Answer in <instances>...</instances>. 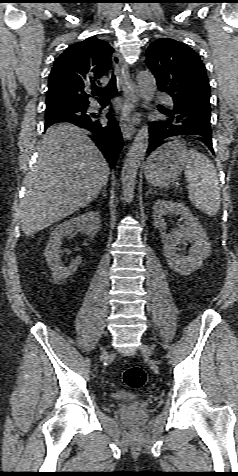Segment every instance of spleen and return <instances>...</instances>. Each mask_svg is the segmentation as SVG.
I'll use <instances>...</instances> for the list:
<instances>
[{
  "mask_svg": "<svg viewBox=\"0 0 238 476\" xmlns=\"http://www.w3.org/2000/svg\"><path fill=\"white\" fill-rule=\"evenodd\" d=\"M188 162L185 177L192 204L209 216H215L221 203L217 172L213 162L204 154L191 149L187 151Z\"/></svg>",
  "mask_w": 238,
  "mask_h": 476,
  "instance_id": "1",
  "label": "spleen"
}]
</instances>
